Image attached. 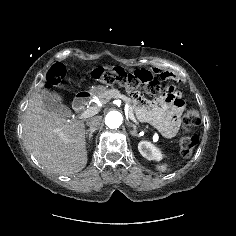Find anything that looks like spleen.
<instances>
[{
	"mask_svg": "<svg viewBox=\"0 0 236 236\" xmlns=\"http://www.w3.org/2000/svg\"><path fill=\"white\" fill-rule=\"evenodd\" d=\"M157 168L161 171H165L167 169V164L158 165Z\"/></svg>",
	"mask_w": 236,
	"mask_h": 236,
	"instance_id": "3e777b00",
	"label": "spleen"
}]
</instances>
